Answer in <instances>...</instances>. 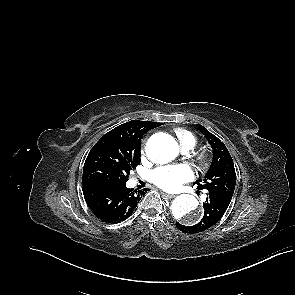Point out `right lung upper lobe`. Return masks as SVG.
Instances as JSON below:
<instances>
[{
	"mask_svg": "<svg viewBox=\"0 0 295 295\" xmlns=\"http://www.w3.org/2000/svg\"><path fill=\"white\" fill-rule=\"evenodd\" d=\"M162 125V123L157 122H150V121H139V120H132L122 125L117 126L116 128L112 129L107 135H117V136H126V135H134L136 132L144 133L148 132L149 130L156 128Z\"/></svg>",
	"mask_w": 295,
	"mask_h": 295,
	"instance_id": "obj_1",
	"label": "right lung upper lobe"
}]
</instances>
